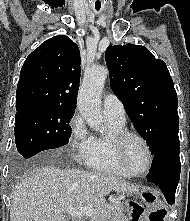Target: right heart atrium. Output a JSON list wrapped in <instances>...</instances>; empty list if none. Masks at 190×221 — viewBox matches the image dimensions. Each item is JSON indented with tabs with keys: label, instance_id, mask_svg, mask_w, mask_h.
<instances>
[{
	"label": "right heart atrium",
	"instance_id": "obj_1",
	"mask_svg": "<svg viewBox=\"0 0 190 221\" xmlns=\"http://www.w3.org/2000/svg\"><path fill=\"white\" fill-rule=\"evenodd\" d=\"M68 144L74 160L78 163H85L92 152L93 135L77 112L69 122Z\"/></svg>",
	"mask_w": 190,
	"mask_h": 221
}]
</instances>
